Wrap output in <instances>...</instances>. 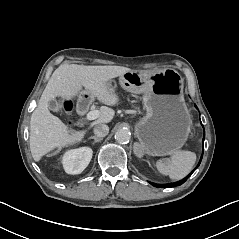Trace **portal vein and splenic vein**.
Listing matches in <instances>:
<instances>
[{
    "label": "portal vein and splenic vein",
    "instance_id": "portal-vein-and-splenic-vein-1",
    "mask_svg": "<svg viewBox=\"0 0 239 239\" xmlns=\"http://www.w3.org/2000/svg\"><path fill=\"white\" fill-rule=\"evenodd\" d=\"M99 117V112L98 111H90L86 114L85 118L88 121L94 120ZM168 162L170 159L168 157L165 158Z\"/></svg>",
    "mask_w": 239,
    "mask_h": 239
}]
</instances>
